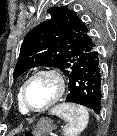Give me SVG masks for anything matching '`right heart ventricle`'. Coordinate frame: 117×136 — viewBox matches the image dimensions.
<instances>
[{
    "mask_svg": "<svg viewBox=\"0 0 117 136\" xmlns=\"http://www.w3.org/2000/svg\"><path fill=\"white\" fill-rule=\"evenodd\" d=\"M21 88H19L18 93H17V107L18 110L22 113V114H27L28 112L26 111V109L24 108L22 102H21Z\"/></svg>",
    "mask_w": 117,
    "mask_h": 136,
    "instance_id": "right-heart-ventricle-1",
    "label": "right heart ventricle"
}]
</instances>
